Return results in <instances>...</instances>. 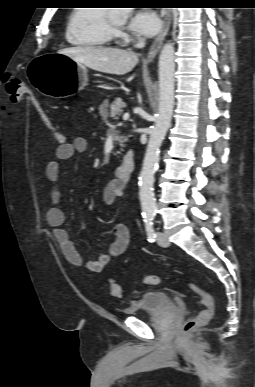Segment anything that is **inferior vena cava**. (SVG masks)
<instances>
[{
	"instance_id": "1",
	"label": "inferior vena cava",
	"mask_w": 255,
	"mask_h": 387,
	"mask_svg": "<svg viewBox=\"0 0 255 387\" xmlns=\"http://www.w3.org/2000/svg\"><path fill=\"white\" fill-rule=\"evenodd\" d=\"M145 45L144 40H140L139 43L136 45L137 47H143Z\"/></svg>"
}]
</instances>
